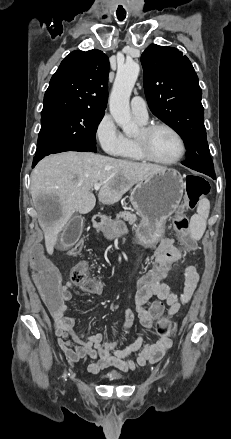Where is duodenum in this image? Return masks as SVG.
I'll return each mask as SVG.
<instances>
[{
	"label": "duodenum",
	"mask_w": 231,
	"mask_h": 439,
	"mask_svg": "<svg viewBox=\"0 0 231 439\" xmlns=\"http://www.w3.org/2000/svg\"><path fill=\"white\" fill-rule=\"evenodd\" d=\"M105 218L102 215H95L92 219L93 226L99 228L103 226Z\"/></svg>",
	"instance_id": "obj_1"
}]
</instances>
